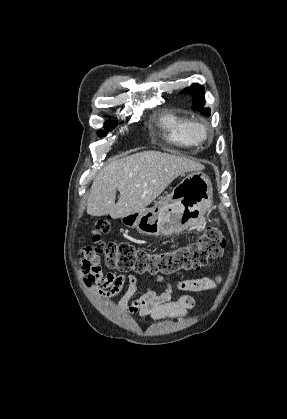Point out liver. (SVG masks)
Here are the masks:
<instances>
[{
  "instance_id": "1",
  "label": "liver",
  "mask_w": 287,
  "mask_h": 419,
  "mask_svg": "<svg viewBox=\"0 0 287 419\" xmlns=\"http://www.w3.org/2000/svg\"><path fill=\"white\" fill-rule=\"evenodd\" d=\"M204 166L185 156L147 150L106 163L95 177L87 214L113 219L145 209L178 176ZM120 193L117 203L116 192Z\"/></svg>"
}]
</instances>
